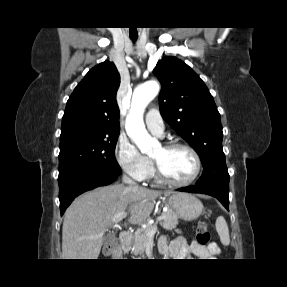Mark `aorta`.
Here are the masks:
<instances>
[{
    "label": "aorta",
    "instance_id": "aorta-1",
    "mask_svg": "<svg viewBox=\"0 0 287 287\" xmlns=\"http://www.w3.org/2000/svg\"><path fill=\"white\" fill-rule=\"evenodd\" d=\"M159 89V84L156 81L144 83L134 89L131 108L126 117L127 135L142 153H149L158 145V141L147 132L143 115L147 105L156 97Z\"/></svg>",
    "mask_w": 287,
    "mask_h": 287
}]
</instances>
